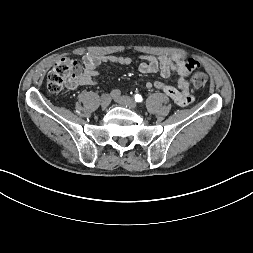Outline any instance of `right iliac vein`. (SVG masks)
I'll list each match as a JSON object with an SVG mask.
<instances>
[{
    "label": "right iliac vein",
    "mask_w": 253,
    "mask_h": 253,
    "mask_svg": "<svg viewBox=\"0 0 253 253\" xmlns=\"http://www.w3.org/2000/svg\"><path fill=\"white\" fill-rule=\"evenodd\" d=\"M111 103V96L109 94H103L100 98V105L103 108H106Z\"/></svg>",
    "instance_id": "1"
}]
</instances>
